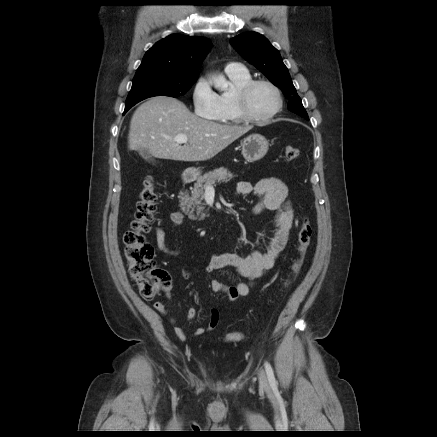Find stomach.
Returning a JSON list of instances; mask_svg holds the SVG:
<instances>
[{
  "label": "stomach",
  "instance_id": "0dacf381",
  "mask_svg": "<svg viewBox=\"0 0 437 437\" xmlns=\"http://www.w3.org/2000/svg\"><path fill=\"white\" fill-rule=\"evenodd\" d=\"M242 155L248 162H255L263 158L268 149L269 143L266 138L260 134H252L246 137L242 143ZM196 173H199L195 170Z\"/></svg>",
  "mask_w": 437,
  "mask_h": 437
}]
</instances>
